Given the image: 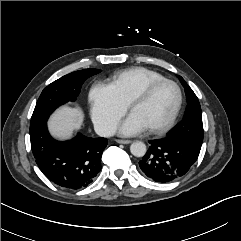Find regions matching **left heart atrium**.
<instances>
[{"mask_svg":"<svg viewBox=\"0 0 241 241\" xmlns=\"http://www.w3.org/2000/svg\"><path fill=\"white\" fill-rule=\"evenodd\" d=\"M147 125L139 119L134 113H131L120 127L123 135H135L147 129Z\"/></svg>","mask_w":241,"mask_h":241,"instance_id":"39dd6f15","label":"left heart atrium"}]
</instances>
